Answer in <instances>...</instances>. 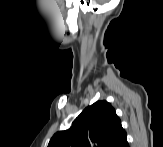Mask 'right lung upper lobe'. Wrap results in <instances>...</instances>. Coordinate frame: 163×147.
I'll return each mask as SVG.
<instances>
[{
    "instance_id": "obj_1",
    "label": "right lung upper lobe",
    "mask_w": 163,
    "mask_h": 147,
    "mask_svg": "<svg viewBox=\"0 0 163 147\" xmlns=\"http://www.w3.org/2000/svg\"><path fill=\"white\" fill-rule=\"evenodd\" d=\"M125 134L111 104L97 101L86 107L69 129L55 133L48 147H113Z\"/></svg>"
}]
</instances>
